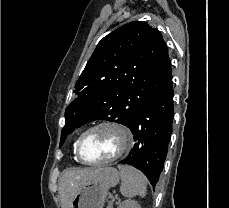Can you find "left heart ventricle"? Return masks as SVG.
<instances>
[{
	"instance_id": "b2bd125f",
	"label": "left heart ventricle",
	"mask_w": 229,
	"mask_h": 208,
	"mask_svg": "<svg viewBox=\"0 0 229 208\" xmlns=\"http://www.w3.org/2000/svg\"><path fill=\"white\" fill-rule=\"evenodd\" d=\"M99 133L94 135L92 131L88 132L82 141V148L84 157L87 160H109V157L117 154L122 147H118L116 143V135L114 131L117 130L112 127H101L95 129ZM104 131L102 135L100 132Z\"/></svg>"
}]
</instances>
